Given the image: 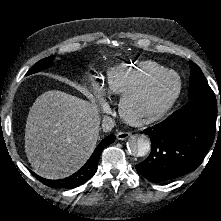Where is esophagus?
Masks as SVG:
<instances>
[{
  "label": "esophagus",
  "mask_w": 221,
  "mask_h": 221,
  "mask_svg": "<svg viewBox=\"0 0 221 221\" xmlns=\"http://www.w3.org/2000/svg\"><path fill=\"white\" fill-rule=\"evenodd\" d=\"M130 135H131L130 132H119V133L117 134V139H118V140H125V139H127Z\"/></svg>",
  "instance_id": "esophagus-1"
}]
</instances>
